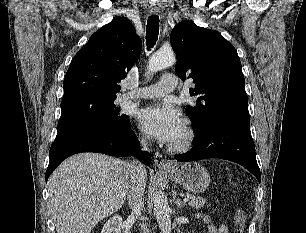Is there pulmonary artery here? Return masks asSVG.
I'll list each match as a JSON object with an SVG mask.
<instances>
[{
	"instance_id": "obj_1",
	"label": "pulmonary artery",
	"mask_w": 306,
	"mask_h": 233,
	"mask_svg": "<svg viewBox=\"0 0 306 233\" xmlns=\"http://www.w3.org/2000/svg\"><path fill=\"white\" fill-rule=\"evenodd\" d=\"M177 78L175 75H165L160 82L154 85L143 87L135 93L127 94L129 98L151 99L165 96L174 91L177 87Z\"/></svg>"
}]
</instances>
